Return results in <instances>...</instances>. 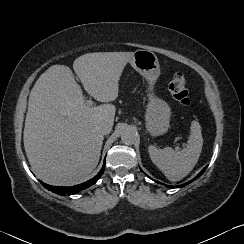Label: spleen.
Returning <instances> with one entry per match:
<instances>
[{"label":"spleen","mask_w":244,"mask_h":244,"mask_svg":"<svg viewBox=\"0 0 244 244\" xmlns=\"http://www.w3.org/2000/svg\"><path fill=\"white\" fill-rule=\"evenodd\" d=\"M203 146L201 126L192 121L190 135L186 147L181 151H174L171 147L163 149L153 145L148 147L151 161L162 171L170 181H180L195 167Z\"/></svg>","instance_id":"obj_1"}]
</instances>
